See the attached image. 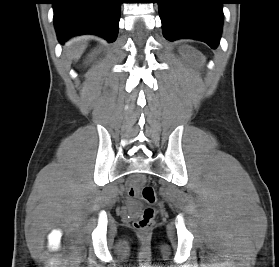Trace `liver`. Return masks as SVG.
I'll return each mask as SVG.
<instances>
[{
	"label": "liver",
	"instance_id": "obj_1",
	"mask_svg": "<svg viewBox=\"0 0 279 267\" xmlns=\"http://www.w3.org/2000/svg\"><path fill=\"white\" fill-rule=\"evenodd\" d=\"M88 41L89 37L87 36H82L70 40L65 47L66 55L70 59L77 61L85 51L88 45Z\"/></svg>",
	"mask_w": 279,
	"mask_h": 267
}]
</instances>
